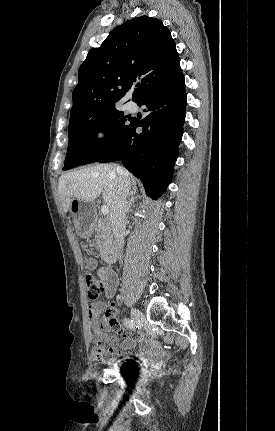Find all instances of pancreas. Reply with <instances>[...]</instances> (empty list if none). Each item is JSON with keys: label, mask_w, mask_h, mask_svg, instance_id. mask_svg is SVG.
Listing matches in <instances>:
<instances>
[{"label": "pancreas", "mask_w": 275, "mask_h": 431, "mask_svg": "<svg viewBox=\"0 0 275 431\" xmlns=\"http://www.w3.org/2000/svg\"><path fill=\"white\" fill-rule=\"evenodd\" d=\"M95 230L97 233L95 236L96 249L102 250L107 244V241L110 237V233L100 219L96 223Z\"/></svg>", "instance_id": "obj_1"}]
</instances>
